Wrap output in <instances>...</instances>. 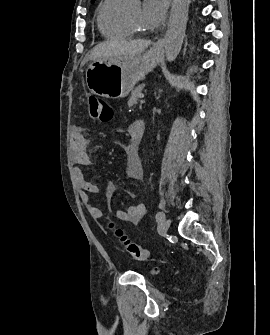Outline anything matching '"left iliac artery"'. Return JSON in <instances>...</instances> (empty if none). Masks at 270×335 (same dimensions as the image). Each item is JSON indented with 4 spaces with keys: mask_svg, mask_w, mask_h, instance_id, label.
<instances>
[{
    "mask_svg": "<svg viewBox=\"0 0 270 335\" xmlns=\"http://www.w3.org/2000/svg\"><path fill=\"white\" fill-rule=\"evenodd\" d=\"M165 219V214L163 212H158L156 214V220L157 222H163Z\"/></svg>",
    "mask_w": 270,
    "mask_h": 335,
    "instance_id": "1",
    "label": "left iliac artery"
}]
</instances>
